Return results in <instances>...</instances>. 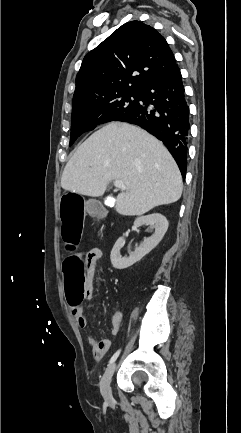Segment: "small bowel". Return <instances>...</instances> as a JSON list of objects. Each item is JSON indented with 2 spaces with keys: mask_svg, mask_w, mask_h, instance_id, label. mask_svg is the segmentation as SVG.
<instances>
[{
  "mask_svg": "<svg viewBox=\"0 0 241 433\" xmlns=\"http://www.w3.org/2000/svg\"><path fill=\"white\" fill-rule=\"evenodd\" d=\"M102 257V251L98 248H93L85 253V272H86V297H92V281L98 264ZM70 312L80 329L88 328V320L84 315V311L79 305H70ZM123 314L119 308H116L112 316V334L117 335L122 326ZM88 341L92 347V354L95 360H102L111 347L110 339L95 340L90 334L87 335Z\"/></svg>",
  "mask_w": 241,
  "mask_h": 433,
  "instance_id": "c3829d8e",
  "label": "small bowel"
}]
</instances>
